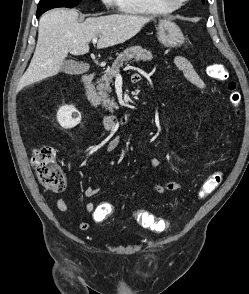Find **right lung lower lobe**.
I'll return each mask as SVG.
<instances>
[{"label": "right lung lower lobe", "instance_id": "obj_1", "mask_svg": "<svg viewBox=\"0 0 249 294\" xmlns=\"http://www.w3.org/2000/svg\"><path fill=\"white\" fill-rule=\"evenodd\" d=\"M41 14L42 12H37L36 17L38 18Z\"/></svg>", "mask_w": 249, "mask_h": 294}]
</instances>
